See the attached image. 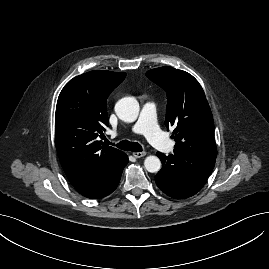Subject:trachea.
Masks as SVG:
<instances>
[{
	"label": "trachea",
	"mask_w": 269,
	"mask_h": 269,
	"mask_svg": "<svg viewBox=\"0 0 269 269\" xmlns=\"http://www.w3.org/2000/svg\"><path fill=\"white\" fill-rule=\"evenodd\" d=\"M108 144L110 142H107ZM119 149L132 152H141L142 146L137 142H130L128 140H123L116 145Z\"/></svg>",
	"instance_id": "trachea-1"
}]
</instances>
